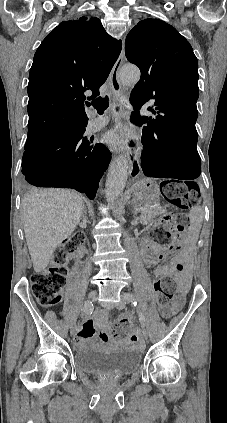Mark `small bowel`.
<instances>
[{
  "instance_id": "small-bowel-1",
  "label": "small bowel",
  "mask_w": 227,
  "mask_h": 423,
  "mask_svg": "<svg viewBox=\"0 0 227 423\" xmlns=\"http://www.w3.org/2000/svg\"><path fill=\"white\" fill-rule=\"evenodd\" d=\"M168 251L160 244L152 243L144 252V259L149 267L154 268V275L156 277H163L171 274L174 270L179 272V282L182 287H186L189 280V271L187 268V254H182L173 259L170 265H159ZM183 305V299L177 298L171 304L160 305L159 310L164 318H170L178 311ZM96 329L102 330L101 339L104 343H111L114 341L113 336L110 334L111 326L108 323V312L105 310H96L92 315L88 316L81 326L75 337V343L78 347L85 346L95 335ZM140 338L139 331L133 332L129 337V342H137Z\"/></svg>"
}]
</instances>
